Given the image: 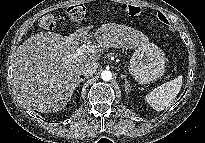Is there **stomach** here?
Segmentation results:
<instances>
[{
	"instance_id": "0dacf381",
	"label": "stomach",
	"mask_w": 205,
	"mask_h": 143,
	"mask_svg": "<svg viewBox=\"0 0 205 143\" xmlns=\"http://www.w3.org/2000/svg\"><path fill=\"white\" fill-rule=\"evenodd\" d=\"M130 70L139 83L149 84L156 81L165 71L163 51L149 42L138 46L130 59Z\"/></svg>"
}]
</instances>
